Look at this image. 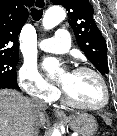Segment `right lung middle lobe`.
I'll return each instance as SVG.
<instances>
[{
	"label": "right lung middle lobe",
	"mask_w": 117,
	"mask_h": 136,
	"mask_svg": "<svg viewBox=\"0 0 117 136\" xmlns=\"http://www.w3.org/2000/svg\"><path fill=\"white\" fill-rule=\"evenodd\" d=\"M18 56L0 57V80H17L16 66Z\"/></svg>",
	"instance_id": "1"
}]
</instances>
